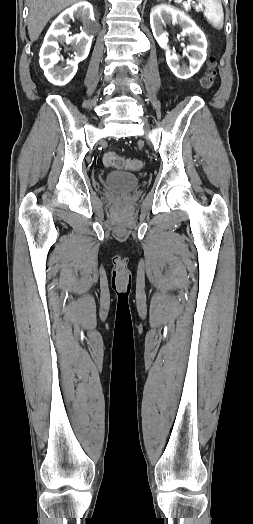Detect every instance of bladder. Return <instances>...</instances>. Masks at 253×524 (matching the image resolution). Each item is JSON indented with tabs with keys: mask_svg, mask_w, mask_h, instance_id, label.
I'll list each match as a JSON object with an SVG mask.
<instances>
[{
	"mask_svg": "<svg viewBox=\"0 0 253 524\" xmlns=\"http://www.w3.org/2000/svg\"><path fill=\"white\" fill-rule=\"evenodd\" d=\"M106 188L116 192H129L139 187L140 181L135 175L124 171L109 172L104 178Z\"/></svg>",
	"mask_w": 253,
	"mask_h": 524,
	"instance_id": "obj_1",
	"label": "bladder"
}]
</instances>
